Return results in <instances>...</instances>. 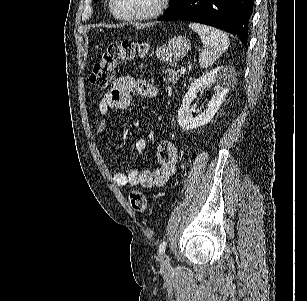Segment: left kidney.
Segmentation results:
<instances>
[{
    "instance_id": "1",
    "label": "left kidney",
    "mask_w": 307,
    "mask_h": 301,
    "mask_svg": "<svg viewBox=\"0 0 307 301\" xmlns=\"http://www.w3.org/2000/svg\"><path fill=\"white\" fill-rule=\"evenodd\" d=\"M236 82V70L234 66H217L212 68L210 72L198 76L192 80L186 94L183 96L182 104L178 110V122L182 130H191L197 126H204L210 122L214 114L218 112L230 86ZM215 84L214 94L211 96L207 108L193 116L190 108L191 102L197 98L198 92H202V88Z\"/></svg>"
}]
</instances>
